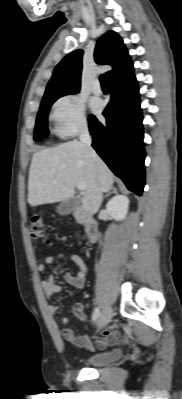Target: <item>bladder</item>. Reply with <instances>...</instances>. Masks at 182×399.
Wrapping results in <instances>:
<instances>
[{
  "mask_svg": "<svg viewBox=\"0 0 182 399\" xmlns=\"http://www.w3.org/2000/svg\"><path fill=\"white\" fill-rule=\"evenodd\" d=\"M123 351L121 349H113L106 352L96 353L88 356L85 363L90 367H100L115 362L121 358Z\"/></svg>",
  "mask_w": 182,
  "mask_h": 399,
  "instance_id": "obj_1",
  "label": "bladder"
}]
</instances>
